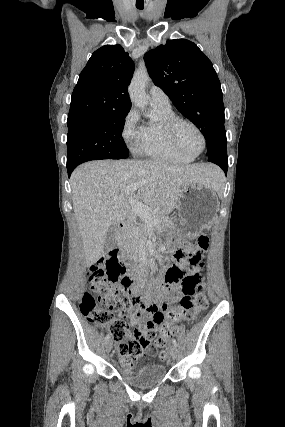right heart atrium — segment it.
Instances as JSON below:
<instances>
[{"mask_svg": "<svg viewBox=\"0 0 285 427\" xmlns=\"http://www.w3.org/2000/svg\"><path fill=\"white\" fill-rule=\"evenodd\" d=\"M139 121L138 112L132 108L125 118L122 130V137L133 152L137 151L142 136V126L139 125Z\"/></svg>", "mask_w": 285, "mask_h": 427, "instance_id": "obj_1", "label": "right heart atrium"}]
</instances>
